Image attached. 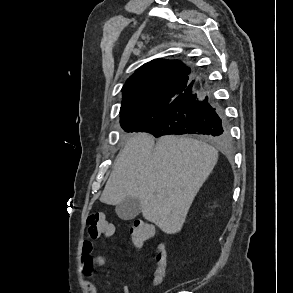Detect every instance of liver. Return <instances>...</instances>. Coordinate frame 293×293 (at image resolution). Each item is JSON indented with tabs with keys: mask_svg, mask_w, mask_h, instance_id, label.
<instances>
[{
	"mask_svg": "<svg viewBox=\"0 0 293 293\" xmlns=\"http://www.w3.org/2000/svg\"><path fill=\"white\" fill-rule=\"evenodd\" d=\"M217 150L185 136L134 134L120 151L100 197L117 205L138 198L145 219L163 232L182 229L190 206L217 163Z\"/></svg>",
	"mask_w": 293,
	"mask_h": 293,
	"instance_id": "6515ba94",
	"label": "liver"
}]
</instances>
